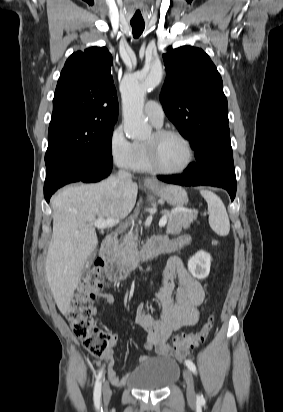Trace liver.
<instances>
[{
	"label": "liver",
	"instance_id": "6515ba94",
	"mask_svg": "<svg viewBox=\"0 0 283 412\" xmlns=\"http://www.w3.org/2000/svg\"><path fill=\"white\" fill-rule=\"evenodd\" d=\"M137 191L131 177L110 176L97 184L66 187L52 198L53 234L45 272L62 314L67 313L85 262L98 245L91 223L125 218L135 206Z\"/></svg>",
	"mask_w": 283,
	"mask_h": 412
}]
</instances>
